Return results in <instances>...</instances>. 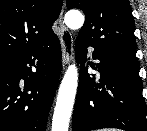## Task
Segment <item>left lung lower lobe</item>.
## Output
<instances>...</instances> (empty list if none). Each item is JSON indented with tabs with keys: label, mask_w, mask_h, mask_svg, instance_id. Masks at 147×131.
<instances>
[{
	"label": "left lung lower lobe",
	"mask_w": 147,
	"mask_h": 131,
	"mask_svg": "<svg viewBox=\"0 0 147 131\" xmlns=\"http://www.w3.org/2000/svg\"><path fill=\"white\" fill-rule=\"evenodd\" d=\"M88 45L77 39L75 57L81 64L79 86L72 119L73 131L118 128L125 131H147L146 103L139 70L94 50L93 58L100 71L99 83L87 73L84 63ZM92 68L97 69L94 63Z\"/></svg>",
	"instance_id": "obj_1"
}]
</instances>
